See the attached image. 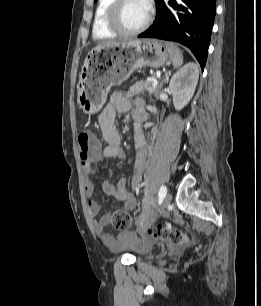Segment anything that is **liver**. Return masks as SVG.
<instances>
[{
  "label": "liver",
  "instance_id": "liver-1",
  "mask_svg": "<svg viewBox=\"0 0 261 306\" xmlns=\"http://www.w3.org/2000/svg\"><path fill=\"white\" fill-rule=\"evenodd\" d=\"M120 43L118 42H107V43H103L102 45H99V46H108V45H118Z\"/></svg>",
  "mask_w": 261,
  "mask_h": 306
}]
</instances>
